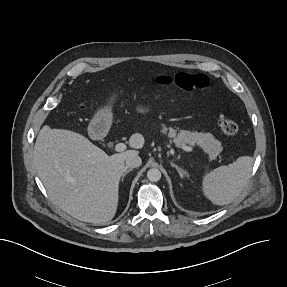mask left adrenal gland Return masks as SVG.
Here are the masks:
<instances>
[{
    "label": "left adrenal gland",
    "mask_w": 287,
    "mask_h": 287,
    "mask_svg": "<svg viewBox=\"0 0 287 287\" xmlns=\"http://www.w3.org/2000/svg\"><path fill=\"white\" fill-rule=\"evenodd\" d=\"M170 164L173 168H175L177 170V172L179 173V175L181 177H184V175H186V172L182 168H180L176 164H174L172 161L170 162Z\"/></svg>",
    "instance_id": "obj_1"
}]
</instances>
